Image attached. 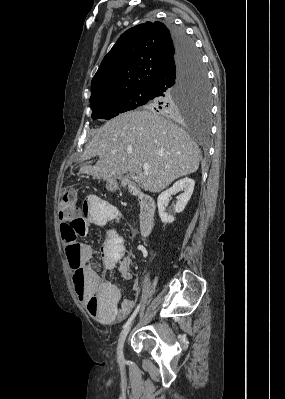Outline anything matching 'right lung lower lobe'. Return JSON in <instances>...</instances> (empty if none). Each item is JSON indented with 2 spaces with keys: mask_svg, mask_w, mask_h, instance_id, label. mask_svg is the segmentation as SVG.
<instances>
[{
  "mask_svg": "<svg viewBox=\"0 0 285 399\" xmlns=\"http://www.w3.org/2000/svg\"><path fill=\"white\" fill-rule=\"evenodd\" d=\"M169 30L176 54L172 62L156 76L150 85L151 93L160 97H166V93L180 82L185 70L197 55L193 41L187 37L183 29L171 25ZM165 106H172L171 101L165 100ZM170 113L171 111H169Z\"/></svg>",
  "mask_w": 285,
  "mask_h": 399,
  "instance_id": "right-lung-lower-lobe-1",
  "label": "right lung lower lobe"
}]
</instances>
